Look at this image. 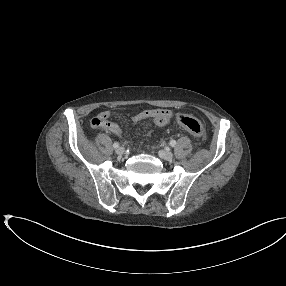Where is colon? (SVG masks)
Returning a JSON list of instances; mask_svg holds the SVG:
<instances>
[{
	"label": "colon",
	"mask_w": 286,
	"mask_h": 286,
	"mask_svg": "<svg viewBox=\"0 0 286 286\" xmlns=\"http://www.w3.org/2000/svg\"><path fill=\"white\" fill-rule=\"evenodd\" d=\"M177 123L188 130L194 137L201 139L204 135L202 123L195 117L186 114H178L176 117Z\"/></svg>",
	"instance_id": "1"
}]
</instances>
